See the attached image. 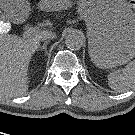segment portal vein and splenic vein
<instances>
[{"mask_svg": "<svg viewBox=\"0 0 135 135\" xmlns=\"http://www.w3.org/2000/svg\"><path fill=\"white\" fill-rule=\"evenodd\" d=\"M39 28L38 27H28L26 31L24 32V36H29L35 33H38Z\"/></svg>", "mask_w": 135, "mask_h": 135, "instance_id": "obj_1", "label": "portal vein and splenic vein"}]
</instances>
